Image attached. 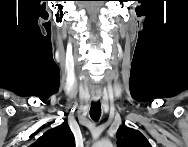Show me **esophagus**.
I'll use <instances>...</instances> for the list:
<instances>
[{"instance_id": "1", "label": "esophagus", "mask_w": 188, "mask_h": 147, "mask_svg": "<svg viewBox=\"0 0 188 147\" xmlns=\"http://www.w3.org/2000/svg\"><path fill=\"white\" fill-rule=\"evenodd\" d=\"M100 99V95L99 94H94L93 95V100L94 101H98Z\"/></svg>"}]
</instances>
